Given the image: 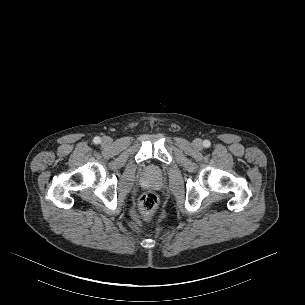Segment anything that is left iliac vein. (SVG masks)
<instances>
[{"label":"left iliac vein","mask_w":305,"mask_h":305,"mask_svg":"<svg viewBox=\"0 0 305 305\" xmlns=\"http://www.w3.org/2000/svg\"><path fill=\"white\" fill-rule=\"evenodd\" d=\"M193 145L200 149L202 147V141L200 139H195Z\"/></svg>","instance_id":"4c4485c4"}]
</instances>
